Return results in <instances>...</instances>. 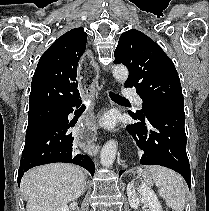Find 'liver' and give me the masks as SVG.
Instances as JSON below:
<instances>
[{
    "mask_svg": "<svg viewBox=\"0 0 209 211\" xmlns=\"http://www.w3.org/2000/svg\"><path fill=\"white\" fill-rule=\"evenodd\" d=\"M85 176L72 164L53 163L27 171L21 180V192L27 198L26 211H55L80 197Z\"/></svg>",
    "mask_w": 209,
    "mask_h": 211,
    "instance_id": "6515ba94",
    "label": "liver"
}]
</instances>
